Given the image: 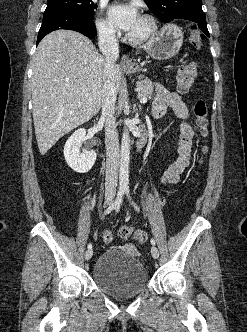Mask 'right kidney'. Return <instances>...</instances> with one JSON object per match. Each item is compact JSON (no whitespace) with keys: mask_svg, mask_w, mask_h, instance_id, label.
I'll use <instances>...</instances> for the list:
<instances>
[{"mask_svg":"<svg viewBox=\"0 0 247 332\" xmlns=\"http://www.w3.org/2000/svg\"><path fill=\"white\" fill-rule=\"evenodd\" d=\"M86 130H76L66 141L64 146V158L68 166L78 173H87L96 161L95 151H81L85 141Z\"/></svg>","mask_w":247,"mask_h":332,"instance_id":"obj_1","label":"right kidney"}]
</instances>
